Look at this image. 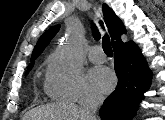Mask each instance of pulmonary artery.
<instances>
[{
    "mask_svg": "<svg viewBox=\"0 0 165 120\" xmlns=\"http://www.w3.org/2000/svg\"><path fill=\"white\" fill-rule=\"evenodd\" d=\"M89 58L91 61L95 63H101L105 61V54L103 53V50L99 46H94L89 51Z\"/></svg>",
    "mask_w": 165,
    "mask_h": 120,
    "instance_id": "1",
    "label": "pulmonary artery"
}]
</instances>
